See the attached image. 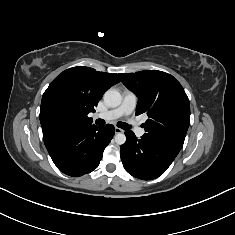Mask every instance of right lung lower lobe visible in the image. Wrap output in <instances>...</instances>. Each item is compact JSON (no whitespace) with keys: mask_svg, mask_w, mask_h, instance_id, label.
I'll return each instance as SVG.
<instances>
[{"mask_svg":"<svg viewBox=\"0 0 235 235\" xmlns=\"http://www.w3.org/2000/svg\"><path fill=\"white\" fill-rule=\"evenodd\" d=\"M115 128L107 124L73 128L45 138L51 159L63 173L78 177L92 172L100 163Z\"/></svg>","mask_w":235,"mask_h":235,"instance_id":"1","label":"right lung lower lobe"}]
</instances>
